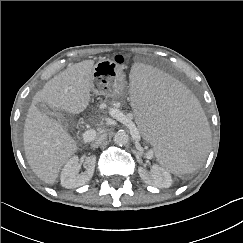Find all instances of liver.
<instances>
[{"label":"liver","mask_w":243,"mask_h":243,"mask_svg":"<svg viewBox=\"0 0 243 243\" xmlns=\"http://www.w3.org/2000/svg\"><path fill=\"white\" fill-rule=\"evenodd\" d=\"M93 60L68 67L49 80L29 107L24 124V151L35 175L47 184H54L62 166L78 150L77 142L59 124L37 108L45 102L57 110L79 114L89 105Z\"/></svg>","instance_id":"1"}]
</instances>
